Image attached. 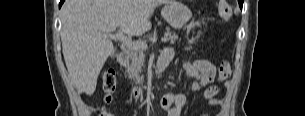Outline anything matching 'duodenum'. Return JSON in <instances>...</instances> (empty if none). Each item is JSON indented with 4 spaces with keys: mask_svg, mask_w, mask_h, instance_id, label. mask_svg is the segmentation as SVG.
Returning <instances> with one entry per match:
<instances>
[{
    "mask_svg": "<svg viewBox=\"0 0 305 116\" xmlns=\"http://www.w3.org/2000/svg\"><path fill=\"white\" fill-rule=\"evenodd\" d=\"M118 62L122 66L127 65L128 62H129V55L127 53H121L118 56ZM169 62H170L169 58L159 59V61L157 63V66H156V73L157 74H162L165 71V69L167 68ZM133 93L137 98H141L146 94V91L142 90V89H134Z\"/></svg>",
    "mask_w": 305,
    "mask_h": 116,
    "instance_id": "410a0bca",
    "label": "duodenum"
}]
</instances>
